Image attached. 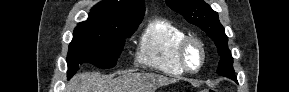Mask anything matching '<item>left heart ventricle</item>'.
<instances>
[{"instance_id": "left-heart-ventricle-1", "label": "left heart ventricle", "mask_w": 289, "mask_h": 92, "mask_svg": "<svg viewBox=\"0 0 289 92\" xmlns=\"http://www.w3.org/2000/svg\"><path fill=\"white\" fill-rule=\"evenodd\" d=\"M200 61V51L198 47L191 46L187 52V62L191 67H196Z\"/></svg>"}]
</instances>
